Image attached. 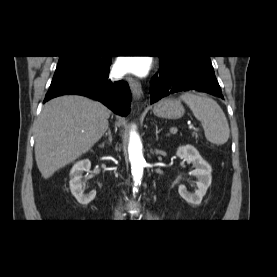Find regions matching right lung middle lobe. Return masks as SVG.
<instances>
[{
  "label": "right lung middle lobe",
  "instance_id": "obj_1",
  "mask_svg": "<svg viewBox=\"0 0 277 277\" xmlns=\"http://www.w3.org/2000/svg\"><path fill=\"white\" fill-rule=\"evenodd\" d=\"M109 57L60 56L50 87H55L89 74L103 65Z\"/></svg>",
  "mask_w": 277,
  "mask_h": 277
}]
</instances>
